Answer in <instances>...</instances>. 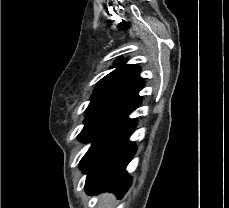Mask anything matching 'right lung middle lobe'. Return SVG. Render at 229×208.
I'll return each instance as SVG.
<instances>
[{
	"mask_svg": "<svg viewBox=\"0 0 229 208\" xmlns=\"http://www.w3.org/2000/svg\"><path fill=\"white\" fill-rule=\"evenodd\" d=\"M139 105L121 100H100L89 104L85 126L78 138L83 142H92V146L81 160V164L88 155L135 121L128 116Z\"/></svg>",
	"mask_w": 229,
	"mask_h": 208,
	"instance_id": "right-lung-middle-lobe-1",
	"label": "right lung middle lobe"
}]
</instances>
